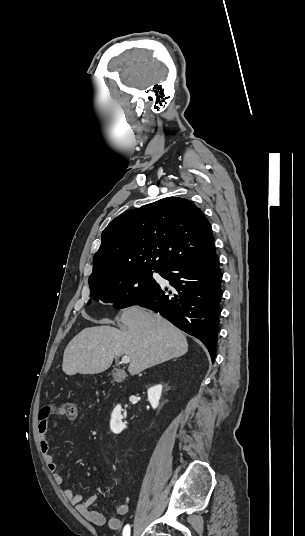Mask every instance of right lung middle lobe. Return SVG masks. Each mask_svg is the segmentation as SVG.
<instances>
[{
	"label": "right lung middle lobe",
	"instance_id": "1",
	"mask_svg": "<svg viewBox=\"0 0 305 536\" xmlns=\"http://www.w3.org/2000/svg\"><path fill=\"white\" fill-rule=\"evenodd\" d=\"M156 272L163 271L155 270ZM149 269L132 271L114 278L89 282L90 295L95 301L112 303L115 308H125L137 304L158 284ZM91 303V300L87 303Z\"/></svg>",
	"mask_w": 305,
	"mask_h": 536
}]
</instances>
